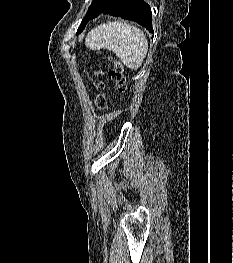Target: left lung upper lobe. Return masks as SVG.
<instances>
[{"instance_id": "1", "label": "left lung upper lobe", "mask_w": 233, "mask_h": 263, "mask_svg": "<svg viewBox=\"0 0 233 263\" xmlns=\"http://www.w3.org/2000/svg\"><path fill=\"white\" fill-rule=\"evenodd\" d=\"M116 0H93L89 10L87 11L77 33H80L85 28L88 21L93 18L95 15L105 11L110 5L115 3Z\"/></svg>"}]
</instances>
